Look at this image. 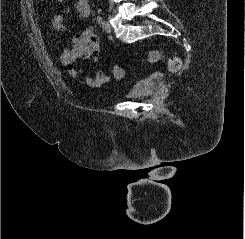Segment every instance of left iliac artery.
I'll list each match as a JSON object with an SVG mask.
<instances>
[{
  "label": "left iliac artery",
  "mask_w": 245,
  "mask_h": 239,
  "mask_svg": "<svg viewBox=\"0 0 245 239\" xmlns=\"http://www.w3.org/2000/svg\"><path fill=\"white\" fill-rule=\"evenodd\" d=\"M96 21H97V23H98L99 25H101V24H102V17H101L100 15H98V16L96 17Z\"/></svg>",
  "instance_id": "left-iliac-artery-1"
}]
</instances>
